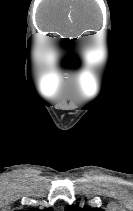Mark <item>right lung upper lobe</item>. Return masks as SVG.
Segmentation results:
<instances>
[{
    "label": "right lung upper lobe",
    "instance_id": "right-lung-upper-lobe-1",
    "mask_svg": "<svg viewBox=\"0 0 133 211\" xmlns=\"http://www.w3.org/2000/svg\"><path fill=\"white\" fill-rule=\"evenodd\" d=\"M32 211H41V210H38V209H34ZM43 211H53L52 209H46V210H43Z\"/></svg>",
    "mask_w": 133,
    "mask_h": 211
}]
</instances>
